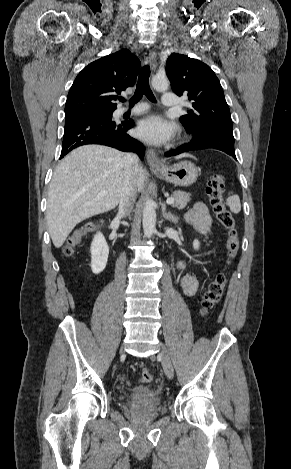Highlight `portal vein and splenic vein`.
Returning a JSON list of instances; mask_svg holds the SVG:
<instances>
[{
	"mask_svg": "<svg viewBox=\"0 0 291 469\" xmlns=\"http://www.w3.org/2000/svg\"><path fill=\"white\" fill-rule=\"evenodd\" d=\"M106 194H107V191H102V192H100V195H102V196H104V195H106ZM173 202H174V199H173L172 197H169V198H167V200H166V203H167L168 205L172 204Z\"/></svg>",
	"mask_w": 291,
	"mask_h": 469,
	"instance_id": "obj_1",
	"label": "portal vein and splenic vein"
}]
</instances>
